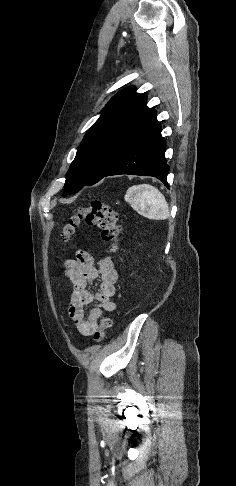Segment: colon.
<instances>
[{
	"label": "colon",
	"mask_w": 236,
	"mask_h": 486,
	"mask_svg": "<svg viewBox=\"0 0 236 486\" xmlns=\"http://www.w3.org/2000/svg\"><path fill=\"white\" fill-rule=\"evenodd\" d=\"M86 221L90 225L96 226L101 233L104 241L110 243V250H118V240L122 231L119 224L118 212L109 205L99 201L92 200L86 207L79 208L74 213L67 224L63 227L61 238L69 240L75 231V228L81 221ZM112 326L111 318L104 316L101 319L99 328L94 333V339L97 342L102 341L107 330Z\"/></svg>",
	"instance_id": "5ec220e1"
}]
</instances>
